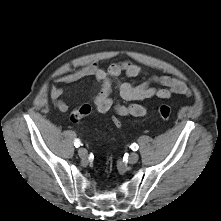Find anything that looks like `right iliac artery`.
Masks as SVG:
<instances>
[{
	"mask_svg": "<svg viewBox=\"0 0 221 221\" xmlns=\"http://www.w3.org/2000/svg\"><path fill=\"white\" fill-rule=\"evenodd\" d=\"M80 145H81L80 140H79V139H76V140H75V143H74V146H75V147H79Z\"/></svg>",
	"mask_w": 221,
	"mask_h": 221,
	"instance_id": "right-iliac-artery-1",
	"label": "right iliac artery"
}]
</instances>
